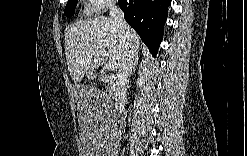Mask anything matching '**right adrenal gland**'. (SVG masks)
I'll return each mask as SVG.
<instances>
[{
    "label": "right adrenal gland",
    "mask_w": 247,
    "mask_h": 156,
    "mask_svg": "<svg viewBox=\"0 0 247 156\" xmlns=\"http://www.w3.org/2000/svg\"><path fill=\"white\" fill-rule=\"evenodd\" d=\"M138 60H139V57H138V55H137V57H136V59H135V61H134V64H133V68H134V66L138 63Z\"/></svg>",
    "instance_id": "2a0ac1e0"
}]
</instances>
